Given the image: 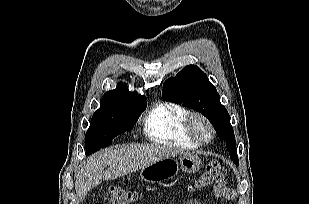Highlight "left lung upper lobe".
Listing matches in <instances>:
<instances>
[{
    "label": "left lung upper lobe",
    "mask_w": 309,
    "mask_h": 204,
    "mask_svg": "<svg viewBox=\"0 0 309 204\" xmlns=\"http://www.w3.org/2000/svg\"><path fill=\"white\" fill-rule=\"evenodd\" d=\"M162 98L183 104L203 114L213 124L220 139L226 142L231 160L238 164L230 116L220 103L216 88L209 82L202 70L195 65L184 67L174 78L164 82Z\"/></svg>",
    "instance_id": "5c2ea615"
}]
</instances>
